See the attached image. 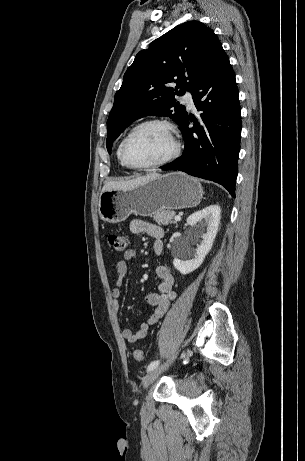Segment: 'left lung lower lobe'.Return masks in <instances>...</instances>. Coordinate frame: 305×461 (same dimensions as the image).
<instances>
[{
	"label": "left lung lower lobe",
	"instance_id": "left-lung-lower-lobe-1",
	"mask_svg": "<svg viewBox=\"0 0 305 461\" xmlns=\"http://www.w3.org/2000/svg\"><path fill=\"white\" fill-rule=\"evenodd\" d=\"M191 93L202 113L198 118L187 114L180 124L184 152L160 168L212 180L235 197L241 115L235 74L223 49ZM190 122L194 123L192 128Z\"/></svg>",
	"mask_w": 305,
	"mask_h": 461
}]
</instances>
